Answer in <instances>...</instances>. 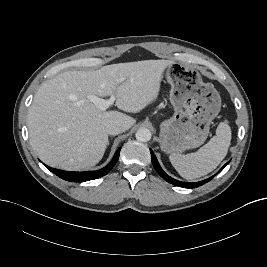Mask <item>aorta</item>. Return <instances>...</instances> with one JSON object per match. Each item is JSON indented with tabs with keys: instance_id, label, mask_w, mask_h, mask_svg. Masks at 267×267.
<instances>
[{
	"instance_id": "762f6f07",
	"label": "aorta",
	"mask_w": 267,
	"mask_h": 267,
	"mask_svg": "<svg viewBox=\"0 0 267 267\" xmlns=\"http://www.w3.org/2000/svg\"><path fill=\"white\" fill-rule=\"evenodd\" d=\"M135 137L140 142H147L151 139V132L147 128H139L135 134Z\"/></svg>"
}]
</instances>
